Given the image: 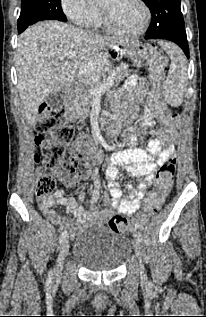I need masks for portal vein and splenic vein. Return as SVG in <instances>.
Wrapping results in <instances>:
<instances>
[{
	"instance_id": "1",
	"label": "portal vein and splenic vein",
	"mask_w": 206,
	"mask_h": 317,
	"mask_svg": "<svg viewBox=\"0 0 206 317\" xmlns=\"http://www.w3.org/2000/svg\"><path fill=\"white\" fill-rule=\"evenodd\" d=\"M75 57H76V52H68L66 54V58L69 60H72ZM113 83H114V71H111L107 81L100 87L92 88L90 90V95L95 97L100 96L102 93L109 90L111 86L113 85Z\"/></svg>"
}]
</instances>
